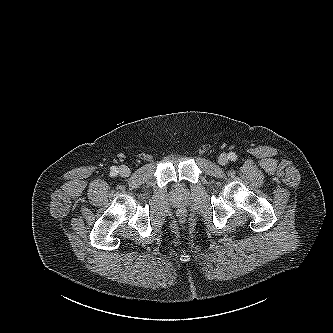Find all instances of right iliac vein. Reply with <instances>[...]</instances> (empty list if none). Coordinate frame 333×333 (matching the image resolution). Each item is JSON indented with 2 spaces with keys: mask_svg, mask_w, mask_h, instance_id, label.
<instances>
[{
  "mask_svg": "<svg viewBox=\"0 0 333 333\" xmlns=\"http://www.w3.org/2000/svg\"><path fill=\"white\" fill-rule=\"evenodd\" d=\"M119 174L122 176V177H128L130 176V169L126 166H121L118 170Z\"/></svg>",
  "mask_w": 333,
  "mask_h": 333,
  "instance_id": "1",
  "label": "right iliac vein"
}]
</instances>
